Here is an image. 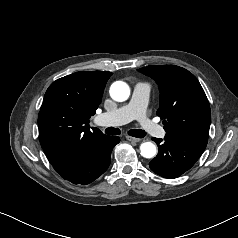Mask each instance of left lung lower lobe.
<instances>
[{"label":"left lung lower lobe","instance_id":"obj_1","mask_svg":"<svg viewBox=\"0 0 238 238\" xmlns=\"http://www.w3.org/2000/svg\"><path fill=\"white\" fill-rule=\"evenodd\" d=\"M159 147L158 155L149 163L156 174L173 179L189 170L202 155L206 146L165 135L164 141L152 138Z\"/></svg>","mask_w":238,"mask_h":238}]
</instances>
